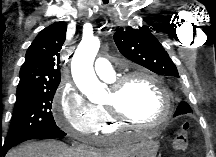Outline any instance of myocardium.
<instances>
[{
	"instance_id": "f54148a6",
	"label": "myocardium",
	"mask_w": 216,
	"mask_h": 157,
	"mask_svg": "<svg viewBox=\"0 0 216 157\" xmlns=\"http://www.w3.org/2000/svg\"><path fill=\"white\" fill-rule=\"evenodd\" d=\"M134 78H142L150 81L161 93L163 99V111L158 119L154 121H141L132 118L124 112L121 105V93L125 85ZM110 95V101L105 102L104 106L111 118L119 125L126 124L135 127H156L163 125L169 119L171 114V96L168 89L158 78L143 70L130 72L116 78L110 85Z\"/></svg>"
}]
</instances>
